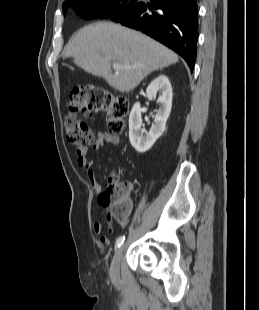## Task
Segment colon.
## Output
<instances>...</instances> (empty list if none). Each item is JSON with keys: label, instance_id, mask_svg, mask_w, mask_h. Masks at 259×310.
Listing matches in <instances>:
<instances>
[{"label": "colon", "instance_id": "obj_1", "mask_svg": "<svg viewBox=\"0 0 259 310\" xmlns=\"http://www.w3.org/2000/svg\"><path fill=\"white\" fill-rule=\"evenodd\" d=\"M128 109V100L109 89L98 85L75 87L70 93L65 116L67 137L78 147L93 144L94 135L79 115L91 116L97 113L104 115L110 134H119L123 130V119ZM98 202L106 210L107 218L123 219L130 205V191L127 184L114 183L111 179L108 188L99 195Z\"/></svg>", "mask_w": 259, "mask_h": 310}]
</instances>
